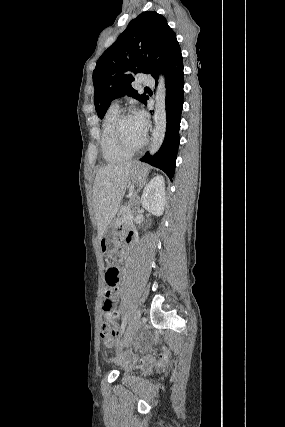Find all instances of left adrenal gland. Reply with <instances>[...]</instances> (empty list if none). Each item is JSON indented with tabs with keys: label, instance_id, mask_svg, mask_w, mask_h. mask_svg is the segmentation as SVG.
Instances as JSON below:
<instances>
[{
	"label": "left adrenal gland",
	"instance_id": "obj_1",
	"mask_svg": "<svg viewBox=\"0 0 285 427\" xmlns=\"http://www.w3.org/2000/svg\"><path fill=\"white\" fill-rule=\"evenodd\" d=\"M136 200L137 201V205L139 206V197L137 196V194L135 193L134 196L132 197V200Z\"/></svg>",
	"mask_w": 285,
	"mask_h": 427
}]
</instances>
